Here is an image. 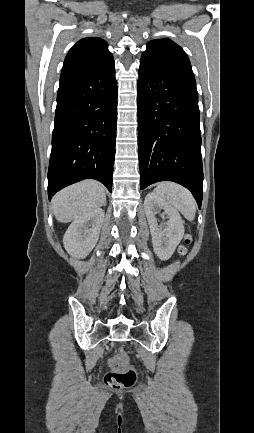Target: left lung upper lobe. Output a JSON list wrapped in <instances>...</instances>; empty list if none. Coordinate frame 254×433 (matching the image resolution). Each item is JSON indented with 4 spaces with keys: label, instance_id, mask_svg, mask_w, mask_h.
I'll return each instance as SVG.
<instances>
[{
    "label": "left lung upper lobe",
    "instance_id": "5c2ea615",
    "mask_svg": "<svg viewBox=\"0 0 254 433\" xmlns=\"http://www.w3.org/2000/svg\"><path fill=\"white\" fill-rule=\"evenodd\" d=\"M141 58L194 77L190 61L184 50L169 39H157L147 43Z\"/></svg>",
    "mask_w": 254,
    "mask_h": 433
}]
</instances>
